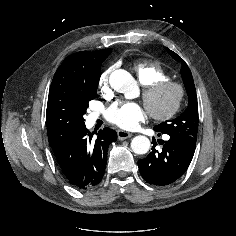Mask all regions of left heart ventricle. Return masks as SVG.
Masks as SVG:
<instances>
[{
	"instance_id": "left-heart-ventricle-1",
	"label": "left heart ventricle",
	"mask_w": 236,
	"mask_h": 236,
	"mask_svg": "<svg viewBox=\"0 0 236 236\" xmlns=\"http://www.w3.org/2000/svg\"><path fill=\"white\" fill-rule=\"evenodd\" d=\"M176 92L172 88H167L158 93L150 102V107L155 111H164L175 98Z\"/></svg>"
}]
</instances>
